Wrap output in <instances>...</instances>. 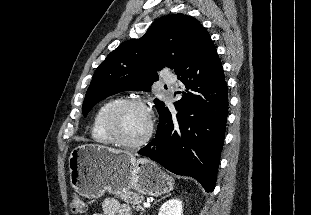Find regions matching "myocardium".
Listing matches in <instances>:
<instances>
[{
	"label": "myocardium",
	"mask_w": 311,
	"mask_h": 215,
	"mask_svg": "<svg viewBox=\"0 0 311 215\" xmlns=\"http://www.w3.org/2000/svg\"><path fill=\"white\" fill-rule=\"evenodd\" d=\"M130 106H139L146 110L148 114V129L144 137L136 142H129L125 140L119 130V118L124 109ZM105 127L113 139L114 143L129 149H136L144 146L153 134V120L151 109L148 104L141 98H127L118 101L108 111L105 119Z\"/></svg>",
	"instance_id": "1"
}]
</instances>
